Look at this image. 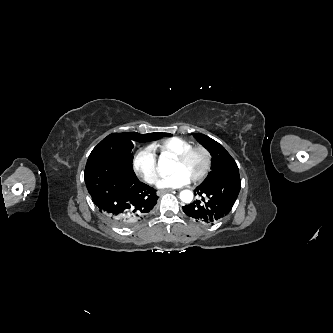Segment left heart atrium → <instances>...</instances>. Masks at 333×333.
<instances>
[{
    "mask_svg": "<svg viewBox=\"0 0 333 333\" xmlns=\"http://www.w3.org/2000/svg\"><path fill=\"white\" fill-rule=\"evenodd\" d=\"M191 179L182 171H177L170 176L161 179L158 183L160 188H179L187 185Z\"/></svg>",
    "mask_w": 333,
    "mask_h": 333,
    "instance_id": "obj_1",
    "label": "left heart atrium"
}]
</instances>
